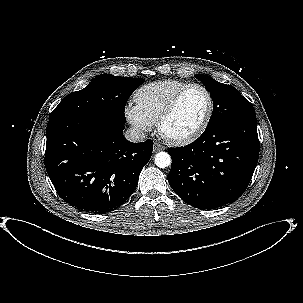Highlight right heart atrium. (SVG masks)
Listing matches in <instances>:
<instances>
[{
    "label": "right heart atrium",
    "instance_id": "1",
    "mask_svg": "<svg viewBox=\"0 0 303 303\" xmlns=\"http://www.w3.org/2000/svg\"><path fill=\"white\" fill-rule=\"evenodd\" d=\"M128 123L139 134H144L151 130L153 124L146 118L138 107L132 103L126 105L124 109Z\"/></svg>",
    "mask_w": 303,
    "mask_h": 303
}]
</instances>
